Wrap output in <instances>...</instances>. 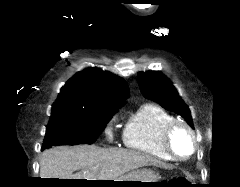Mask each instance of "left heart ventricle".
<instances>
[{
    "label": "left heart ventricle",
    "mask_w": 240,
    "mask_h": 187,
    "mask_svg": "<svg viewBox=\"0 0 240 187\" xmlns=\"http://www.w3.org/2000/svg\"><path fill=\"white\" fill-rule=\"evenodd\" d=\"M174 145L176 150L181 154L190 152L191 146L188 136L183 132H178L174 138Z\"/></svg>",
    "instance_id": "1"
}]
</instances>
